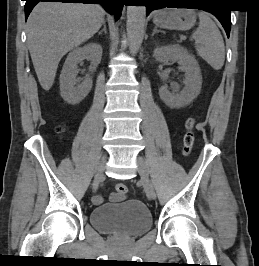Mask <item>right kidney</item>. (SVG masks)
Here are the masks:
<instances>
[{
    "label": "right kidney",
    "mask_w": 259,
    "mask_h": 266,
    "mask_svg": "<svg viewBox=\"0 0 259 266\" xmlns=\"http://www.w3.org/2000/svg\"><path fill=\"white\" fill-rule=\"evenodd\" d=\"M101 57L102 47L98 43H88L69 53L60 75V93L66 102L72 105L80 103L92 88V78L89 76L82 83L77 84L78 64L88 58L91 61L89 71L93 72L100 63Z\"/></svg>",
    "instance_id": "obj_1"
}]
</instances>
